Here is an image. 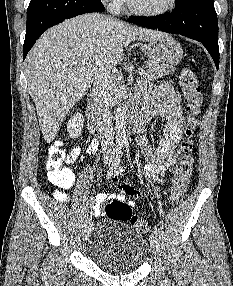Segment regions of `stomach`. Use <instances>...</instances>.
<instances>
[{
  "instance_id": "obj_1",
  "label": "stomach",
  "mask_w": 233,
  "mask_h": 286,
  "mask_svg": "<svg viewBox=\"0 0 233 286\" xmlns=\"http://www.w3.org/2000/svg\"><path fill=\"white\" fill-rule=\"evenodd\" d=\"M141 49L151 64L163 68L174 67L183 57L181 45L168 34L141 44Z\"/></svg>"
}]
</instances>
